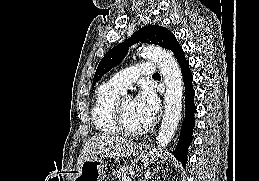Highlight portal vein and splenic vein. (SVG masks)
<instances>
[{
    "label": "portal vein and splenic vein",
    "instance_id": "1",
    "mask_svg": "<svg viewBox=\"0 0 259 181\" xmlns=\"http://www.w3.org/2000/svg\"><path fill=\"white\" fill-rule=\"evenodd\" d=\"M122 181H131V178H129V177H124V178H122Z\"/></svg>",
    "mask_w": 259,
    "mask_h": 181
}]
</instances>
